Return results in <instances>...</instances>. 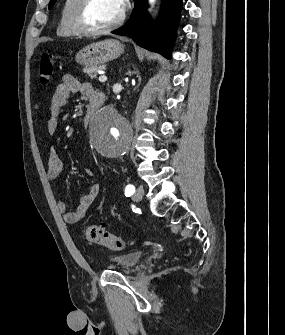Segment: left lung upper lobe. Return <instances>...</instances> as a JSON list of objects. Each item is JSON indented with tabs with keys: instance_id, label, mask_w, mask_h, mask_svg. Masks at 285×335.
Returning <instances> with one entry per match:
<instances>
[{
	"instance_id": "left-lung-upper-lobe-1",
	"label": "left lung upper lobe",
	"mask_w": 285,
	"mask_h": 335,
	"mask_svg": "<svg viewBox=\"0 0 285 335\" xmlns=\"http://www.w3.org/2000/svg\"><path fill=\"white\" fill-rule=\"evenodd\" d=\"M57 0H50L49 9L55 4Z\"/></svg>"
}]
</instances>
